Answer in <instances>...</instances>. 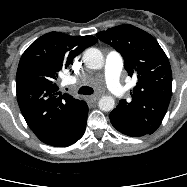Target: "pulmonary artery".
Masks as SVG:
<instances>
[{
    "mask_svg": "<svg viewBox=\"0 0 187 187\" xmlns=\"http://www.w3.org/2000/svg\"><path fill=\"white\" fill-rule=\"evenodd\" d=\"M122 67L121 56L115 51L110 52L105 61V81L109 90L116 96L124 93V88L120 83Z\"/></svg>",
    "mask_w": 187,
    "mask_h": 187,
    "instance_id": "pulmonary-artery-1",
    "label": "pulmonary artery"
}]
</instances>
